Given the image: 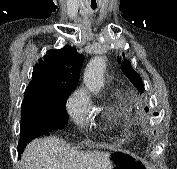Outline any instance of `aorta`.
I'll use <instances>...</instances> for the list:
<instances>
[{"instance_id": "aorta-1", "label": "aorta", "mask_w": 177, "mask_h": 169, "mask_svg": "<svg viewBox=\"0 0 177 169\" xmlns=\"http://www.w3.org/2000/svg\"><path fill=\"white\" fill-rule=\"evenodd\" d=\"M106 68L103 57H94L85 68L83 82L89 92L98 94L104 86V72Z\"/></svg>"}]
</instances>
